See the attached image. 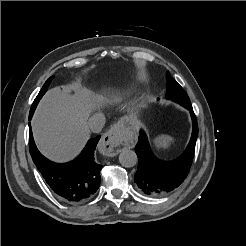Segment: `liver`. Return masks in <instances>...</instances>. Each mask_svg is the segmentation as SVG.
Wrapping results in <instances>:
<instances>
[{"label": "liver", "mask_w": 246, "mask_h": 246, "mask_svg": "<svg viewBox=\"0 0 246 246\" xmlns=\"http://www.w3.org/2000/svg\"><path fill=\"white\" fill-rule=\"evenodd\" d=\"M106 103V98L79 85L50 89L31 122L41 153L56 162L73 159L89 138L90 114Z\"/></svg>", "instance_id": "1"}]
</instances>
